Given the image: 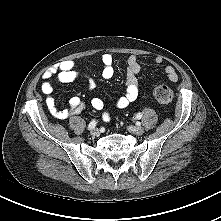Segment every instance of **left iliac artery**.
<instances>
[{
    "label": "left iliac artery",
    "instance_id": "obj_1",
    "mask_svg": "<svg viewBox=\"0 0 221 221\" xmlns=\"http://www.w3.org/2000/svg\"><path fill=\"white\" fill-rule=\"evenodd\" d=\"M141 117H142V114H141V113H138V114L136 115V118H137V119H141Z\"/></svg>",
    "mask_w": 221,
    "mask_h": 221
}]
</instances>
